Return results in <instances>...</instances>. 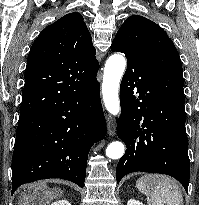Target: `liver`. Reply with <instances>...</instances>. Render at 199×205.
<instances>
[{
    "label": "liver",
    "mask_w": 199,
    "mask_h": 205,
    "mask_svg": "<svg viewBox=\"0 0 199 205\" xmlns=\"http://www.w3.org/2000/svg\"><path fill=\"white\" fill-rule=\"evenodd\" d=\"M62 192L60 190H47L43 184H37L33 186V194L23 195L21 202L25 205H37V199L40 200V205L48 204L51 200L60 197Z\"/></svg>",
    "instance_id": "obj_1"
}]
</instances>
